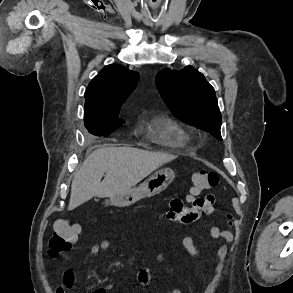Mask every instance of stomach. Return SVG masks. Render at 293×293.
<instances>
[{
  "instance_id": "1",
  "label": "stomach",
  "mask_w": 293,
  "mask_h": 293,
  "mask_svg": "<svg viewBox=\"0 0 293 293\" xmlns=\"http://www.w3.org/2000/svg\"><path fill=\"white\" fill-rule=\"evenodd\" d=\"M175 177L174 171L166 168L152 174L139 187L132 188L122 194L110 197L111 205L126 207L145 197L155 196L163 192Z\"/></svg>"
}]
</instances>
